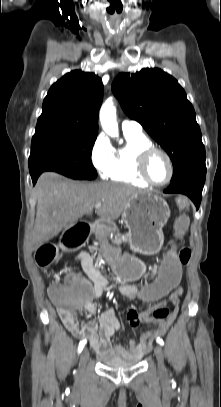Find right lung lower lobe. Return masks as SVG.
Masks as SVG:
<instances>
[{"label": "right lung lower lobe", "instance_id": "right-lung-lower-lobe-1", "mask_svg": "<svg viewBox=\"0 0 221 407\" xmlns=\"http://www.w3.org/2000/svg\"><path fill=\"white\" fill-rule=\"evenodd\" d=\"M39 175H40V174H34V175H31V177H32V181H33V184H35V183H36V181H37V179H38Z\"/></svg>", "mask_w": 221, "mask_h": 407}]
</instances>
